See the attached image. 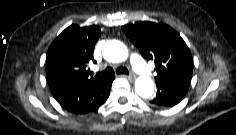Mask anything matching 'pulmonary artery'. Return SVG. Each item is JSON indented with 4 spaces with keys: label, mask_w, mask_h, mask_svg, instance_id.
<instances>
[{
    "label": "pulmonary artery",
    "mask_w": 236,
    "mask_h": 135,
    "mask_svg": "<svg viewBox=\"0 0 236 135\" xmlns=\"http://www.w3.org/2000/svg\"><path fill=\"white\" fill-rule=\"evenodd\" d=\"M130 62L137 73L141 75H150V67L145 63L139 54L135 52L131 53Z\"/></svg>",
    "instance_id": "pulmonary-artery-1"
}]
</instances>
